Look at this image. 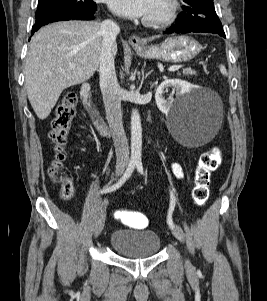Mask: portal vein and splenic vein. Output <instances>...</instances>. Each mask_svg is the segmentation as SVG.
Returning a JSON list of instances; mask_svg holds the SVG:
<instances>
[{
    "label": "portal vein and splenic vein",
    "mask_w": 267,
    "mask_h": 301,
    "mask_svg": "<svg viewBox=\"0 0 267 301\" xmlns=\"http://www.w3.org/2000/svg\"><path fill=\"white\" fill-rule=\"evenodd\" d=\"M70 67H75V64H70ZM180 68H181V66H171V67L168 68V71L169 72H175Z\"/></svg>",
    "instance_id": "1"
}]
</instances>
